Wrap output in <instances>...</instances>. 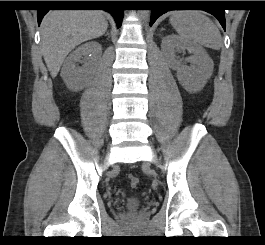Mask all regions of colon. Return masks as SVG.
Instances as JSON below:
<instances>
[{"instance_id": "colon-1", "label": "colon", "mask_w": 265, "mask_h": 245, "mask_svg": "<svg viewBox=\"0 0 265 245\" xmlns=\"http://www.w3.org/2000/svg\"><path fill=\"white\" fill-rule=\"evenodd\" d=\"M139 178L136 175H130L129 176V183L132 188L136 187L138 185Z\"/></svg>"}]
</instances>
